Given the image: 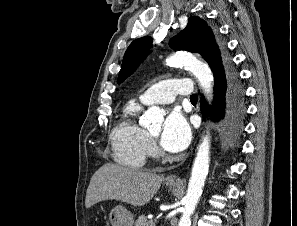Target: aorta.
I'll use <instances>...</instances> for the list:
<instances>
[{
    "instance_id": "1",
    "label": "aorta",
    "mask_w": 297,
    "mask_h": 226,
    "mask_svg": "<svg viewBox=\"0 0 297 226\" xmlns=\"http://www.w3.org/2000/svg\"><path fill=\"white\" fill-rule=\"evenodd\" d=\"M167 64L183 66L193 73L205 95L210 97L213 89V74L207 64L198 60L195 56L177 52L171 55ZM144 122L150 128L160 129L163 115L158 107H151L143 116ZM210 162V138L204 136L198 147V151L193 163L188 189L184 198V207L178 226H190L191 215L193 214L203 192L204 183L209 171Z\"/></svg>"
}]
</instances>
